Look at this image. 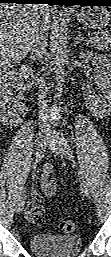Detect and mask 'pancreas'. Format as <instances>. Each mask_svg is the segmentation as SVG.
I'll return each mask as SVG.
<instances>
[{
    "mask_svg": "<svg viewBox=\"0 0 111 257\" xmlns=\"http://www.w3.org/2000/svg\"><path fill=\"white\" fill-rule=\"evenodd\" d=\"M88 44L101 51H105L111 48V37H108V36L91 37L88 39Z\"/></svg>",
    "mask_w": 111,
    "mask_h": 257,
    "instance_id": "obj_1",
    "label": "pancreas"
}]
</instances>
